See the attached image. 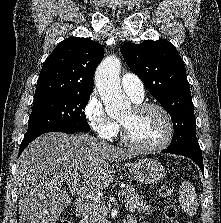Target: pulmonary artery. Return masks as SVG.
<instances>
[{
  "label": "pulmonary artery",
  "instance_id": "1",
  "mask_svg": "<svg viewBox=\"0 0 221 223\" xmlns=\"http://www.w3.org/2000/svg\"><path fill=\"white\" fill-rule=\"evenodd\" d=\"M121 86L123 90L134 101H141L144 97V85L141 79L131 73H126L121 78Z\"/></svg>",
  "mask_w": 221,
  "mask_h": 223
}]
</instances>
